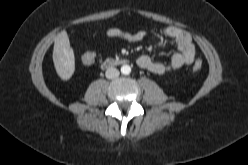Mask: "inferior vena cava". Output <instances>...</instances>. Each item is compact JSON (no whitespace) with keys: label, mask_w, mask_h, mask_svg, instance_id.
Masks as SVG:
<instances>
[{"label":"inferior vena cava","mask_w":248,"mask_h":165,"mask_svg":"<svg viewBox=\"0 0 248 165\" xmlns=\"http://www.w3.org/2000/svg\"><path fill=\"white\" fill-rule=\"evenodd\" d=\"M120 72L118 69L116 68H108L105 72L106 78L108 79H114L117 78L119 76Z\"/></svg>","instance_id":"obj_1"}]
</instances>
